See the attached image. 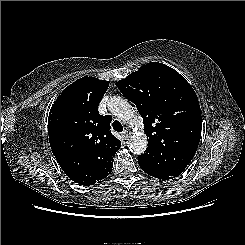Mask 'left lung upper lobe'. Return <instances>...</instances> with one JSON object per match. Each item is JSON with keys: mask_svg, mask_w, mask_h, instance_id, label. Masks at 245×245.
Instances as JSON below:
<instances>
[{"mask_svg": "<svg viewBox=\"0 0 245 245\" xmlns=\"http://www.w3.org/2000/svg\"><path fill=\"white\" fill-rule=\"evenodd\" d=\"M143 118L148 147L138 156L141 168L164 176L180 175L193 159L202 118L192 86L174 69L157 62L116 82Z\"/></svg>", "mask_w": 245, "mask_h": 245, "instance_id": "1", "label": "left lung upper lobe"}]
</instances>
